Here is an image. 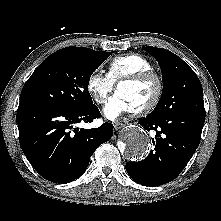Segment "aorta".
<instances>
[{
    "label": "aorta",
    "mask_w": 221,
    "mask_h": 221,
    "mask_svg": "<svg viewBox=\"0 0 221 221\" xmlns=\"http://www.w3.org/2000/svg\"><path fill=\"white\" fill-rule=\"evenodd\" d=\"M121 152L130 160L140 161L144 159L150 148V139L141 128L134 126L126 130Z\"/></svg>",
    "instance_id": "1"
}]
</instances>
